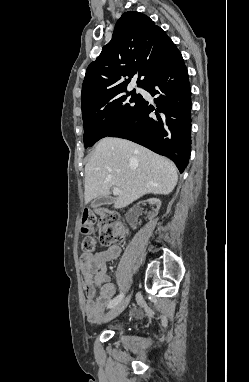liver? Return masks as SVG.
<instances>
[{
    "label": "liver",
    "mask_w": 249,
    "mask_h": 382,
    "mask_svg": "<svg viewBox=\"0 0 249 382\" xmlns=\"http://www.w3.org/2000/svg\"><path fill=\"white\" fill-rule=\"evenodd\" d=\"M178 181L174 163L132 141L101 139L85 166V203L107 197L111 188L122 195L115 202L124 208L145 194L168 195Z\"/></svg>",
    "instance_id": "obj_1"
}]
</instances>
